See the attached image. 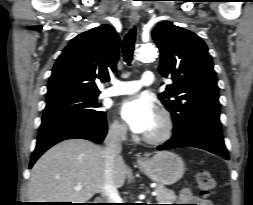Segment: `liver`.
Listing matches in <instances>:
<instances>
[{"label":"liver","mask_w":253,"mask_h":205,"mask_svg":"<svg viewBox=\"0 0 253 205\" xmlns=\"http://www.w3.org/2000/svg\"><path fill=\"white\" fill-rule=\"evenodd\" d=\"M103 148L83 139L65 140L50 148L34 164L28 185L32 202L86 203L102 191L105 177ZM127 167L116 158L114 183L123 186ZM81 183L83 187L75 190Z\"/></svg>","instance_id":"1"}]
</instances>
